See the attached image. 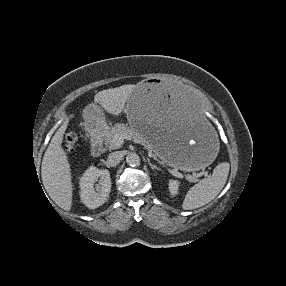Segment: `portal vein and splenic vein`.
<instances>
[{
  "instance_id": "18ae733b",
  "label": "portal vein and splenic vein",
  "mask_w": 286,
  "mask_h": 286,
  "mask_svg": "<svg viewBox=\"0 0 286 286\" xmlns=\"http://www.w3.org/2000/svg\"><path fill=\"white\" fill-rule=\"evenodd\" d=\"M124 139H127V140H130V138L128 136H125V135H122V134H117L114 138V143L117 145V146H120L123 144L124 142ZM169 171L175 175V176H178L179 178H184V175L176 170H171L169 169ZM201 175H204L206 177H208V172H201L200 174L197 175V177L201 176Z\"/></svg>"
}]
</instances>
